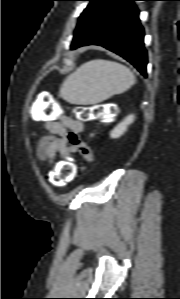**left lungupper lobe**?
Masks as SVG:
<instances>
[{"label":"left lung upper lobe","mask_w":180,"mask_h":299,"mask_svg":"<svg viewBox=\"0 0 180 299\" xmlns=\"http://www.w3.org/2000/svg\"><path fill=\"white\" fill-rule=\"evenodd\" d=\"M86 1H90L89 5L87 6V8L83 11V13L81 14L80 18H79V23L81 21V19L83 18L84 14L86 13V11L89 9V7L94 3V1L96 0H86ZM78 23V25H79Z\"/></svg>","instance_id":"left-lung-upper-lobe-1"}]
</instances>
